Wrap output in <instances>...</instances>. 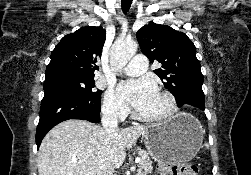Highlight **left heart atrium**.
<instances>
[{
    "mask_svg": "<svg viewBox=\"0 0 251 175\" xmlns=\"http://www.w3.org/2000/svg\"><path fill=\"white\" fill-rule=\"evenodd\" d=\"M117 94L123 103L145 112L157 98L158 88L150 78L128 79L119 82Z\"/></svg>",
    "mask_w": 251,
    "mask_h": 175,
    "instance_id": "left-heart-atrium-1",
    "label": "left heart atrium"
}]
</instances>
